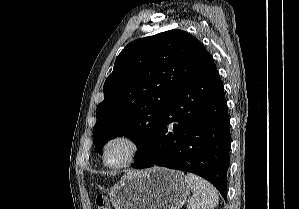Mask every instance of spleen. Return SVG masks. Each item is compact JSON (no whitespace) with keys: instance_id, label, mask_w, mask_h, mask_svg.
Returning a JSON list of instances; mask_svg holds the SVG:
<instances>
[{"instance_id":"1","label":"spleen","mask_w":299,"mask_h":209,"mask_svg":"<svg viewBox=\"0 0 299 209\" xmlns=\"http://www.w3.org/2000/svg\"><path fill=\"white\" fill-rule=\"evenodd\" d=\"M186 177L193 192L187 208L214 209L218 205L219 197L213 185L192 173H188Z\"/></svg>"}]
</instances>
